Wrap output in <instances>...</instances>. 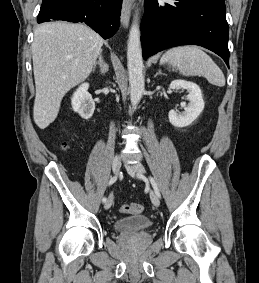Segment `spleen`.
I'll list each match as a JSON object with an SVG mask.
<instances>
[{
  "mask_svg": "<svg viewBox=\"0 0 259 283\" xmlns=\"http://www.w3.org/2000/svg\"><path fill=\"white\" fill-rule=\"evenodd\" d=\"M179 70L183 76H204L219 87L225 85L221 69L209 55L196 46H180L169 49L160 60Z\"/></svg>",
  "mask_w": 259,
  "mask_h": 283,
  "instance_id": "obj_1",
  "label": "spleen"
}]
</instances>
